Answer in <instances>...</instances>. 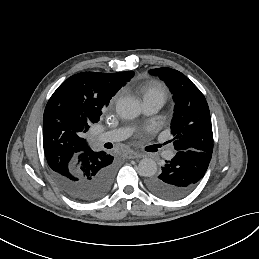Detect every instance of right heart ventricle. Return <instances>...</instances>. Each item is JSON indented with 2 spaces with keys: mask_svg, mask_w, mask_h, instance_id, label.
<instances>
[{
  "mask_svg": "<svg viewBox=\"0 0 259 259\" xmlns=\"http://www.w3.org/2000/svg\"><path fill=\"white\" fill-rule=\"evenodd\" d=\"M136 90L142 94L143 101L150 98L161 97L166 99V89L159 83L152 82L149 86H144L142 83L139 84Z\"/></svg>",
  "mask_w": 259,
  "mask_h": 259,
  "instance_id": "1",
  "label": "right heart ventricle"
}]
</instances>
